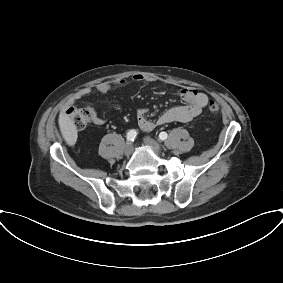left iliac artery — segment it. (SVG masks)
I'll return each instance as SVG.
<instances>
[{"label": "left iliac artery", "instance_id": "1", "mask_svg": "<svg viewBox=\"0 0 283 283\" xmlns=\"http://www.w3.org/2000/svg\"><path fill=\"white\" fill-rule=\"evenodd\" d=\"M167 137H168V134L164 131L159 134L160 140H165V139H167Z\"/></svg>", "mask_w": 283, "mask_h": 283}]
</instances>
